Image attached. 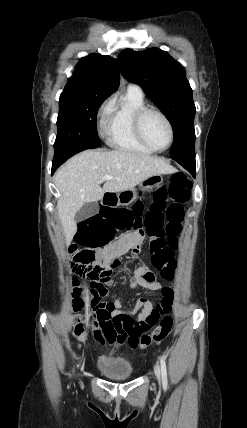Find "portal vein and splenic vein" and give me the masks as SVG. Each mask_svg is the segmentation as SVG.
<instances>
[{
  "mask_svg": "<svg viewBox=\"0 0 247 428\" xmlns=\"http://www.w3.org/2000/svg\"><path fill=\"white\" fill-rule=\"evenodd\" d=\"M115 177H113V176H110V175H105L103 178H102V182L103 181H106V180H111V179H114Z\"/></svg>",
  "mask_w": 247,
  "mask_h": 428,
  "instance_id": "portal-vein-and-splenic-vein-1",
  "label": "portal vein and splenic vein"
}]
</instances>
